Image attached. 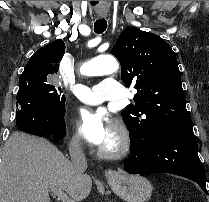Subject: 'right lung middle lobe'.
<instances>
[{
	"label": "right lung middle lobe",
	"mask_w": 209,
	"mask_h": 202,
	"mask_svg": "<svg viewBox=\"0 0 209 202\" xmlns=\"http://www.w3.org/2000/svg\"><path fill=\"white\" fill-rule=\"evenodd\" d=\"M49 79L50 74L45 73L20 76L16 114L28 106L26 104L28 102L38 110L51 115L64 116L65 97L61 94L60 87L52 85Z\"/></svg>",
	"instance_id": "1"
}]
</instances>
